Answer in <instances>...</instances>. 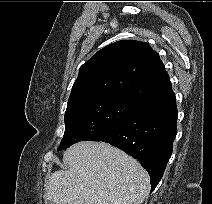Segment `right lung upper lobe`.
<instances>
[{"label": "right lung upper lobe", "mask_w": 212, "mask_h": 204, "mask_svg": "<svg viewBox=\"0 0 212 204\" xmlns=\"http://www.w3.org/2000/svg\"><path fill=\"white\" fill-rule=\"evenodd\" d=\"M171 89L159 55L145 42L121 40L80 67L67 107L103 97L142 103Z\"/></svg>", "instance_id": "1"}]
</instances>
